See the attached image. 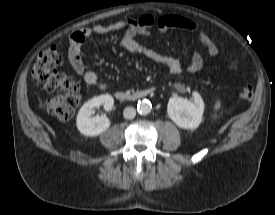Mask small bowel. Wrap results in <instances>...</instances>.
Returning <instances> with one entry per match:
<instances>
[{
	"mask_svg": "<svg viewBox=\"0 0 275 215\" xmlns=\"http://www.w3.org/2000/svg\"><path fill=\"white\" fill-rule=\"evenodd\" d=\"M157 27L162 32L173 30H187L196 36L199 44L213 57L219 55V50L210 36L194 21L175 14H164L159 17L150 13L133 16L126 21L119 20L109 24H100L94 27L80 28L69 37L68 59L73 70L83 77L86 84L99 90L105 85L99 81L97 74L89 69L81 58V49L84 41L92 35H102L113 31H122L121 47L132 53H138L146 59L166 66L173 74L182 70L180 61L171 54L161 53L141 45L137 38L148 35L149 30ZM203 66V57L200 52H194L188 65L189 72H198Z\"/></svg>",
	"mask_w": 275,
	"mask_h": 215,
	"instance_id": "obj_1",
	"label": "small bowel"
}]
</instances>
